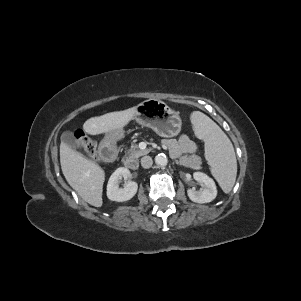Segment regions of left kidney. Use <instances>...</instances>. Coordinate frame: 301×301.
Listing matches in <instances>:
<instances>
[{
  "instance_id": "left-kidney-1",
  "label": "left kidney",
  "mask_w": 301,
  "mask_h": 301,
  "mask_svg": "<svg viewBox=\"0 0 301 301\" xmlns=\"http://www.w3.org/2000/svg\"><path fill=\"white\" fill-rule=\"evenodd\" d=\"M193 177L197 182L202 183V188L198 191L188 189L187 194L190 200L196 203H209L213 201L217 196L214 180L202 172H195Z\"/></svg>"
}]
</instances>
